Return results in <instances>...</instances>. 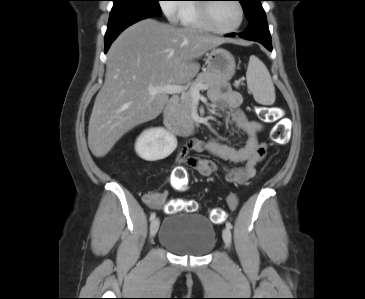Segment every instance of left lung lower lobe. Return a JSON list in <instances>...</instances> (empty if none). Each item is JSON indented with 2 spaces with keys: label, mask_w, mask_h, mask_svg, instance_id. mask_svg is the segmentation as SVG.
<instances>
[{
  "label": "left lung lower lobe",
  "mask_w": 365,
  "mask_h": 299,
  "mask_svg": "<svg viewBox=\"0 0 365 299\" xmlns=\"http://www.w3.org/2000/svg\"><path fill=\"white\" fill-rule=\"evenodd\" d=\"M229 37L235 36V33L227 34ZM246 40L257 41L261 43L269 51H272L271 35L268 29L266 15H260L254 20L250 21V24L246 31L239 35Z\"/></svg>",
  "instance_id": "obj_1"
}]
</instances>
